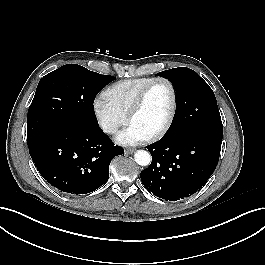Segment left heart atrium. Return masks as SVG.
I'll list each match as a JSON object with an SVG mask.
<instances>
[{
    "instance_id": "obj_1",
    "label": "left heart atrium",
    "mask_w": 265,
    "mask_h": 265,
    "mask_svg": "<svg viewBox=\"0 0 265 265\" xmlns=\"http://www.w3.org/2000/svg\"><path fill=\"white\" fill-rule=\"evenodd\" d=\"M148 138L147 134L131 124L122 130L116 137V142L121 145H136Z\"/></svg>"
}]
</instances>
